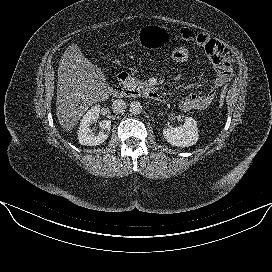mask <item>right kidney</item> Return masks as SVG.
Here are the masks:
<instances>
[{
    "mask_svg": "<svg viewBox=\"0 0 272 272\" xmlns=\"http://www.w3.org/2000/svg\"><path fill=\"white\" fill-rule=\"evenodd\" d=\"M99 113L100 105H95L91 107L81 119L78 130V140L80 144L85 146H96L102 144L108 138L111 129L110 120H102L99 122L100 131L98 134H95L90 129L91 124L96 122L99 118Z\"/></svg>",
    "mask_w": 272,
    "mask_h": 272,
    "instance_id": "1",
    "label": "right kidney"
}]
</instances>
